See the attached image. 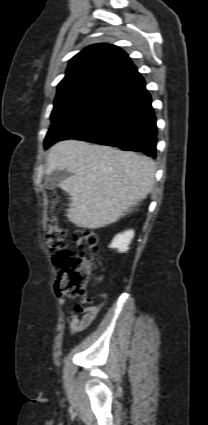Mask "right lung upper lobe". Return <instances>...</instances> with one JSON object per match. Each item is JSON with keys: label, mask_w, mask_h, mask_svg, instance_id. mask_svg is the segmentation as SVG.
Returning <instances> with one entry per match:
<instances>
[{"label": "right lung upper lobe", "mask_w": 208, "mask_h": 425, "mask_svg": "<svg viewBox=\"0 0 208 425\" xmlns=\"http://www.w3.org/2000/svg\"><path fill=\"white\" fill-rule=\"evenodd\" d=\"M132 66L128 55L117 46L90 45L70 60L55 101L79 91H102Z\"/></svg>", "instance_id": "obj_1"}]
</instances>
